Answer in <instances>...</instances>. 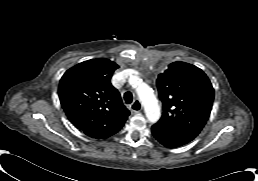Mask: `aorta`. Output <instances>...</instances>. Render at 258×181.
Here are the masks:
<instances>
[{"instance_id":"762f6f07","label":"aorta","mask_w":258,"mask_h":181,"mask_svg":"<svg viewBox=\"0 0 258 181\" xmlns=\"http://www.w3.org/2000/svg\"><path fill=\"white\" fill-rule=\"evenodd\" d=\"M136 92L144 106L148 120L152 123L157 122L160 118V108L152 90L145 83H139Z\"/></svg>"}]
</instances>
